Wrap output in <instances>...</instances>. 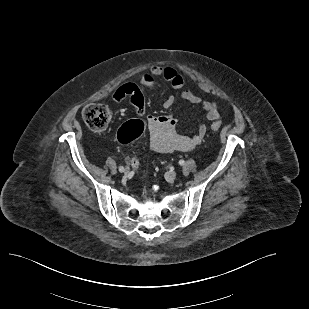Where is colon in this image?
<instances>
[{
    "mask_svg": "<svg viewBox=\"0 0 309 309\" xmlns=\"http://www.w3.org/2000/svg\"><path fill=\"white\" fill-rule=\"evenodd\" d=\"M82 117L86 125L94 132H103L107 129L111 119V110L104 104H89L85 106ZM220 122L212 124L213 131L219 130ZM145 129L144 122L139 119L126 122L119 130L118 139L122 144H128L139 138ZM133 168H138L139 162L136 156L131 158Z\"/></svg>",
    "mask_w": 309,
    "mask_h": 309,
    "instance_id": "1",
    "label": "colon"
}]
</instances>
